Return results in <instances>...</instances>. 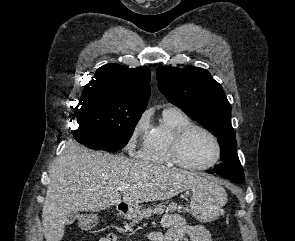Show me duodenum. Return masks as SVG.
Returning <instances> with one entry per match:
<instances>
[{
  "instance_id": "obj_1",
  "label": "duodenum",
  "mask_w": 295,
  "mask_h": 241,
  "mask_svg": "<svg viewBox=\"0 0 295 241\" xmlns=\"http://www.w3.org/2000/svg\"><path fill=\"white\" fill-rule=\"evenodd\" d=\"M117 207L121 212L126 211V206L124 205V203H119Z\"/></svg>"
}]
</instances>
